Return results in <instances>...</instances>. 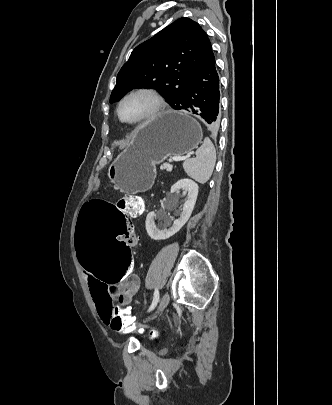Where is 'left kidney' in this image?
I'll return each instance as SVG.
<instances>
[{"mask_svg":"<svg viewBox=\"0 0 332 405\" xmlns=\"http://www.w3.org/2000/svg\"><path fill=\"white\" fill-rule=\"evenodd\" d=\"M198 189H199L198 185L195 182L186 178L179 180L176 184H174L171 187V193H175L179 190H182L183 195H187V198L182 207L180 217L174 221L171 227L160 230L156 226L154 220L156 217L163 218V213L158 212L156 214L155 212H150L146 217L145 225L147 233L151 237V239L153 240L168 239L174 234H176L186 224L195 206L198 195ZM163 225L166 227L169 226L170 221L166 220Z\"/></svg>","mask_w":332,"mask_h":405,"instance_id":"obj_1","label":"left kidney"}]
</instances>
